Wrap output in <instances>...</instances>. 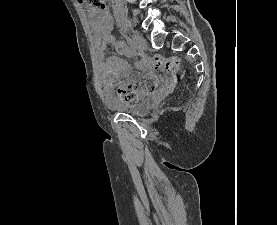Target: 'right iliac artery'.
<instances>
[{
  "mask_svg": "<svg viewBox=\"0 0 277 225\" xmlns=\"http://www.w3.org/2000/svg\"><path fill=\"white\" fill-rule=\"evenodd\" d=\"M129 48L132 50V51H135L136 50V46L134 44V42L132 40L129 41Z\"/></svg>",
  "mask_w": 277,
  "mask_h": 225,
  "instance_id": "obj_1",
  "label": "right iliac artery"
}]
</instances>
